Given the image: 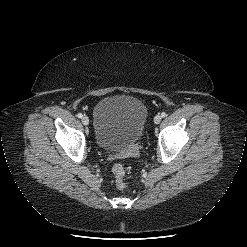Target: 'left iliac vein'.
Instances as JSON below:
<instances>
[{
  "label": "left iliac vein",
  "mask_w": 247,
  "mask_h": 247,
  "mask_svg": "<svg viewBox=\"0 0 247 247\" xmlns=\"http://www.w3.org/2000/svg\"><path fill=\"white\" fill-rule=\"evenodd\" d=\"M161 119H162V117L160 115H156L154 117V123L155 124H159L161 122Z\"/></svg>",
  "instance_id": "obj_1"
}]
</instances>
